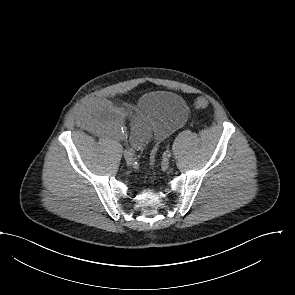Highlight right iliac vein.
I'll list each match as a JSON object with an SVG mask.
<instances>
[{
    "mask_svg": "<svg viewBox=\"0 0 295 295\" xmlns=\"http://www.w3.org/2000/svg\"><path fill=\"white\" fill-rule=\"evenodd\" d=\"M124 158H125V161L128 165L132 164L134 161L133 155H130L127 152H124Z\"/></svg>",
    "mask_w": 295,
    "mask_h": 295,
    "instance_id": "63e3f726",
    "label": "right iliac vein"
}]
</instances>
